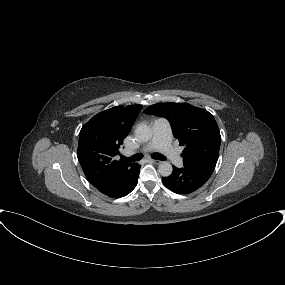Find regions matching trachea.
I'll return each instance as SVG.
<instances>
[{
    "label": "trachea",
    "mask_w": 285,
    "mask_h": 285,
    "mask_svg": "<svg viewBox=\"0 0 285 285\" xmlns=\"http://www.w3.org/2000/svg\"><path fill=\"white\" fill-rule=\"evenodd\" d=\"M152 158L156 159V160H166V157L161 155V154H158V153H155V154H152L151 155ZM125 160L127 161H130V162H135V161H139L142 159V155L141 154H135V155H132L131 157L129 158H125L123 157Z\"/></svg>",
    "instance_id": "1"
}]
</instances>
